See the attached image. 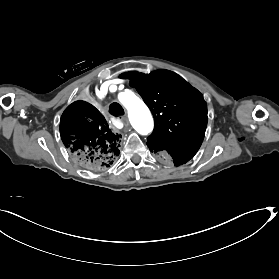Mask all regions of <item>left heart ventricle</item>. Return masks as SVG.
I'll use <instances>...</instances> for the list:
<instances>
[{
    "instance_id": "left-heart-ventricle-1",
    "label": "left heart ventricle",
    "mask_w": 279,
    "mask_h": 279,
    "mask_svg": "<svg viewBox=\"0 0 279 279\" xmlns=\"http://www.w3.org/2000/svg\"><path fill=\"white\" fill-rule=\"evenodd\" d=\"M104 73H107V70H105V72ZM88 78H90L89 76H88Z\"/></svg>"
}]
</instances>
